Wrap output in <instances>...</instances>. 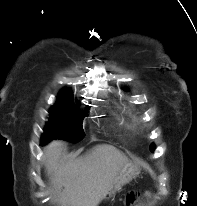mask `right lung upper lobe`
<instances>
[{
    "instance_id": "right-lung-upper-lobe-1",
    "label": "right lung upper lobe",
    "mask_w": 197,
    "mask_h": 206,
    "mask_svg": "<svg viewBox=\"0 0 197 206\" xmlns=\"http://www.w3.org/2000/svg\"><path fill=\"white\" fill-rule=\"evenodd\" d=\"M60 96H71V93L69 91H62Z\"/></svg>"
}]
</instances>
